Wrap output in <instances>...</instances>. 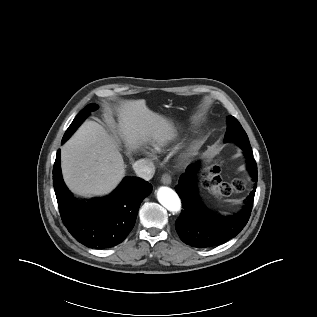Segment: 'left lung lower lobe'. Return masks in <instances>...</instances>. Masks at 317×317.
I'll return each instance as SVG.
<instances>
[{
	"mask_svg": "<svg viewBox=\"0 0 317 317\" xmlns=\"http://www.w3.org/2000/svg\"><path fill=\"white\" fill-rule=\"evenodd\" d=\"M247 158V169L257 182V165L251 147L242 148ZM197 164L189 166L175 187L182 200V213L176 221V231L181 240L193 247H213L238 235L247 224L253 207L256 185L235 215L221 216L206 209L198 198L196 187Z\"/></svg>",
	"mask_w": 317,
	"mask_h": 317,
	"instance_id": "left-lung-lower-lobe-1",
	"label": "left lung lower lobe"
}]
</instances>
